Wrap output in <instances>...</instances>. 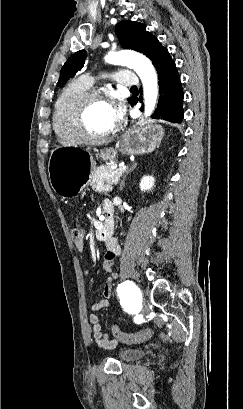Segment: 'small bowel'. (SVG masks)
Returning a JSON list of instances; mask_svg holds the SVG:
<instances>
[{"label":"small bowel","instance_id":"1","mask_svg":"<svg viewBox=\"0 0 243 409\" xmlns=\"http://www.w3.org/2000/svg\"><path fill=\"white\" fill-rule=\"evenodd\" d=\"M105 208L110 209V206L106 203ZM107 252L103 261V270L108 274L106 282L103 287V299L92 305L91 310L96 312L102 308L109 306V298L112 294V285L113 282L118 278V274L113 269L114 260L120 254V247L114 239H110L106 242ZM88 270H85V275L88 277ZM90 323L92 325V336L97 345L103 349H112L114 348L118 340L114 337H110L108 334H105L101 330V325L99 317L96 314L90 315Z\"/></svg>","mask_w":243,"mask_h":409}]
</instances>
